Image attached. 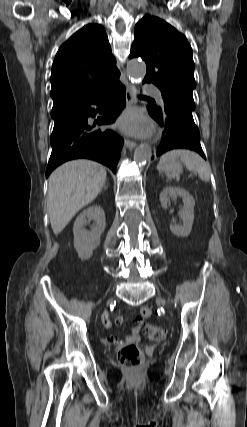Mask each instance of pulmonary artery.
Here are the masks:
<instances>
[{
	"label": "pulmonary artery",
	"mask_w": 247,
	"mask_h": 427,
	"mask_svg": "<svg viewBox=\"0 0 247 427\" xmlns=\"http://www.w3.org/2000/svg\"><path fill=\"white\" fill-rule=\"evenodd\" d=\"M146 90L149 91V92H151L156 97V99L161 104H163V97H162V94H161V92H160V90L158 88H156L154 86L148 85V86H146Z\"/></svg>",
	"instance_id": "pulmonary-artery-1"
}]
</instances>
